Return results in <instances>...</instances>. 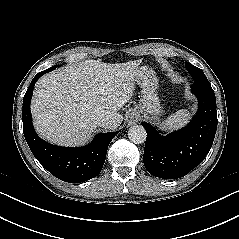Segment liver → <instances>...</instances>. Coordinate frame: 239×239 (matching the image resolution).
<instances>
[{"instance_id":"6515ba94","label":"liver","mask_w":239,"mask_h":239,"mask_svg":"<svg viewBox=\"0 0 239 239\" xmlns=\"http://www.w3.org/2000/svg\"><path fill=\"white\" fill-rule=\"evenodd\" d=\"M139 64L89 59L44 75L31 101L37 133L51 143L75 146L89 139L101 116L111 120L101 127L116 129L123 121L117 111L132 98L135 82L142 76Z\"/></svg>"}]
</instances>
